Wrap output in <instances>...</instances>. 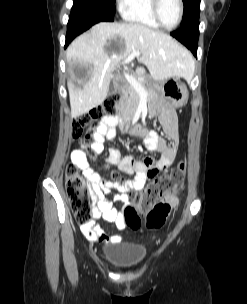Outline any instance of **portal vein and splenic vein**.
Returning <instances> with one entry per match:
<instances>
[{
	"instance_id": "obj_1",
	"label": "portal vein and splenic vein",
	"mask_w": 247,
	"mask_h": 304,
	"mask_svg": "<svg viewBox=\"0 0 247 304\" xmlns=\"http://www.w3.org/2000/svg\"><path fill=\"white\" fill-rule=\"evenodd\" d=\"M141 53L139 51H133L128 55V57L124 60V63H129L131 62L135 57H140ZM125 78L127 81L130 83V85L137 91V93L140 96H148V92L144 89V87L141 85L139 80H137L134 76L125 73L124 74Z\"/></svg>"
}]
</instances>
